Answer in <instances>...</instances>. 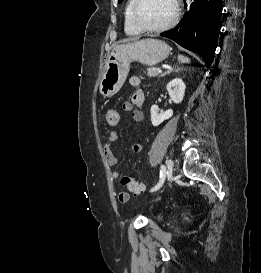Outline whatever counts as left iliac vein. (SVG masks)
Instances as JSON below:
<instances>
[{"label": "left iliac vein", "instance_id": "obj_1", "mask_svg": "<svg viewBox=\"0 0 261 273\" xmlns=\"http://www.w3.org/2000/svg\"><path fill=\"white\" fill-rule=\"evenodd\" d=\"M172 170H173V160L167 159L165 164V173H167V175H170L172 174Z\"/></svg>", "mask_w": 261, "mask_h": 273}]
</instances>
